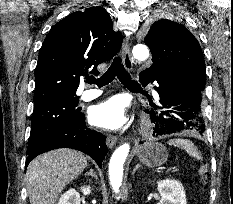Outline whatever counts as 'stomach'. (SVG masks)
Wrapping results in <instances>:
<instances>
[{
    "label": "stomach",
    "mask_w": 233,
    "mask_h": 204,
    "mask_svg": "<svg viewBox=\"0 0 233 204\" xmlns=\"http://www.w3.org/2000/svg\"><path fill=\"white\" fill-rule=\"evenodd\" d=\"M137 156L142 164L148 167H158L166 163L168 151L160 143L149 142L139 148Z\"/></svg>",
    "instance_id": "1"
}]
</instances>
